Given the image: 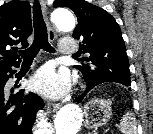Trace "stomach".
Masks as SVG:
<instances>
[{"label":"stomach","instance_id":"0dacf381","mask_svg":"<svg viewBox=\"0 0 153 134\" xmlns=\"http://www.w3.org/2000/svg\"><path fill=\"white\" fill-rule=\"evenodd\" d=\"M85 126L93 129L106 125L112 116L110 103L106 100L94 98L84 106Z\"/></svg>","mask_w":153,"mask_h":134}]
</instances>
